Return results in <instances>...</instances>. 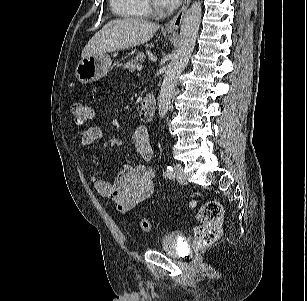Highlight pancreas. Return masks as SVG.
I'll use <instances>...</instances> for the list:
<instances>
[{
    "mask_svg": "<svg viewBox=\"0 0 307 301\" xmlns=\"http://www.w3.org/2000/svg\"><path fill=\"white\" fill-rule=\"evenodd\" d=\"M146 56L142 52H138L135 56L131 57L130 60L123 64L125 69H128L130 72H134L137 69L139 63L144 62Z\"/></svg>",
    "mask_w": 307,
    "mask_h": 301,
    "instance_id": "pancreas-1",
    "label": "pancreas"
}]
</instances>
